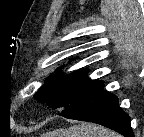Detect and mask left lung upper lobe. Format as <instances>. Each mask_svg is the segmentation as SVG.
Masks as SVG:
<instances>
[{"label": "left lung upper lobe", "instance_id": "5c2ea615", "mask_svg": "<svg viewBox=\"0 0 144 137\" xmlns=\"http://www.w3.org/2000/svg\"><path fill=\"white\" fill-rule=\"evenodd\" d=\"M100 83L102 81L89 80L87 70H80L69 75L57 74L50 77L34 97L38 102L46 103L51 108L64 109L77 100L84 91L91 90Z\"/></svg>", "mask_w": 144, "mask_h": 137}]
</instances>
